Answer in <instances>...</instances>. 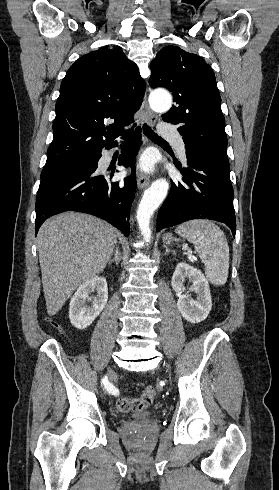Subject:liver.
Segmentation results:
<instances>
[{
	"label": "liver",
	"mask_w": 279,
	"mask_h": 490,
	"mask_svg": "<svg viewBox=\"0 0 279 490\" xmlns=\"http://www.w3.org/2000/svg\"><path fill=\"white\" fill-rule=\"evenodd\" d=\"M118 230L89 214L63 212L42 224L37 248L48 316H55L81 284L101 274Z\"/></svg>",
	"instance_id": "6515ba94"
}]
</instances>
